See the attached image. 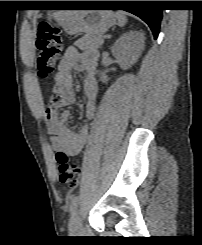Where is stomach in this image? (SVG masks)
Returning <instances> with one entry per match:
<instances>
[{"label":"stomach","mask_w":202,"mask_h":245,"mask_svg":"<svg viewBox=\"0 0 202 245\" xmlns=\"http://www.w3.org/2000/svg\"><path fill=\"white\" fill-rule=\"evenodd\" d=\"M52 17L70 35L79 32L98 36L116 24L117 16L108 10L55 12Z\"/></svg>","instance_id":"stomach-1"}]
</instances>
